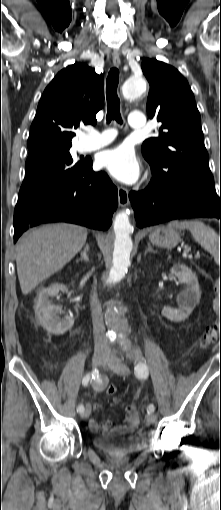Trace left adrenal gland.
<instances>
[{
    "label": "left adrenal gland",
    "instance_id": "a2214340",
    "mask_svg": "<svg viewBox=\"0 0 221 510\" xmlns=\"http://www.w3.org/2000/svg\"><path fill=\"white\" fill-rule=\"evenodd\" d=\"M147 245H148V248H147V250L145 251V255H146L148 252L156 253V251H155L154 249H152V247H151V244H150V243H148Z\"/></svg>",
    "mask_w": 221,
    "mask_h": 510
}]
</instances>
